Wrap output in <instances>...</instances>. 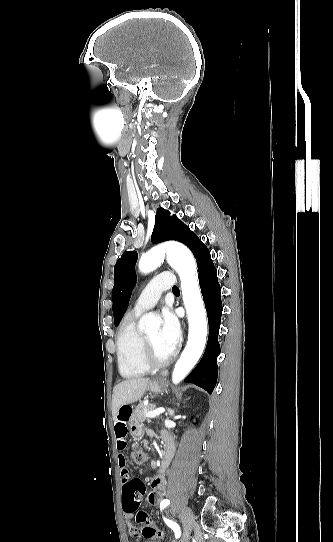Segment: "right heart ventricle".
I'll use <instances>...</instances> for the list:
<instances>
[{
    "label": "right heart ventricle",
    "instance_id": "right-heart-ventricle-1",
    "mask_svg": "<svg viewBox=\"0 0 333 542\" xmlns=\"http://www.w3.org/2000/svg\"><path fill=\"white\" fill-rule=\"evenodd\" d=\"M138 317L131 312L129 320L122 324L115 338L118 369L128 379L139 378L149 370L140 357L142 333L137 328Z\"/></svg>",
    "mask_w": 333,
    "mask_h": 542
}]
</instances>
